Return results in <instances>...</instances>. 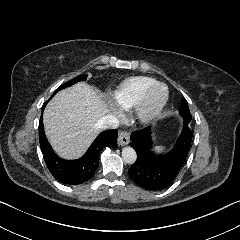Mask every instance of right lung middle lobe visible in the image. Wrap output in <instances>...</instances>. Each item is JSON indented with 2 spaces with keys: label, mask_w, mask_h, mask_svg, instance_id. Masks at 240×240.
Instances as JSON below:
<instances>
[{
  "label": "right lung middle lobe",
  "mask_w": 240,
  "mask_h": 240,
  "mask_svg": "<svg viewBox=\"0 0 240 240\" xmlns=\"http://www.w3.org/2000/svg\"><path fill=\"white\" fill-rule=\"evenodd\" d=\"M81 80H86V75H85V74L80 75V76H78V77H76V78L68 81L67 83H65L64 85H62L61 87H59L58 90H61V89L66 88V87H69V86L73 85L74 83H76V82H78V81H81ZM58 90H57V91H58ZM57 91H56V92H57ZM56 92H54V94H55ZM54 94H53V95H54ZM53 95L51 96V98L53 97ZM51 98H50V99H51ZM50 99H49V100H50ZM49 100H48V101H49ZM48 101H47V102H48ZM47 102L45 103V105L47 104ZM45 105H44V107H45Z\"/></svg>",
  "instance_id": "dd1d6c3e"
}]
</instances>
